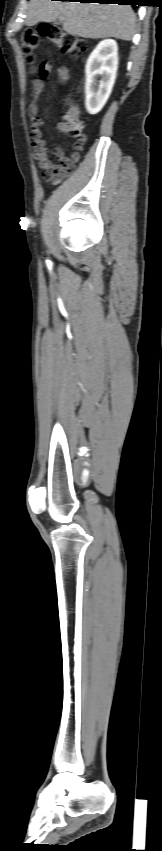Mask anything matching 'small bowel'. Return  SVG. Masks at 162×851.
I'll return each mask as SVG.
<instances>
[{"label":"small bowel","instance_id":"c3829d8e","mask_svg":"<svg viewBox=\"0 0 162 851\" xmlns=\"http://www.w3.org/2000/svg\"><path fill=\"white\" fill-rule=\"evenodd\" d=\"M39 77L33 82V90L31 94V103L29 105V115L31 119V139L34 148V158L37 161V166L44 172L46 178L52 180L54 172L64 164L70 162V158L66 157L63 150L59 147H53L51 153L58 159L61 164L55 165L49 157L45 141L42 139L40 129L41 120L39 118V100L46 86V79L51 74H56L62 81H66L69 77V68L62 64L55 66L50 62H44L38 69ZM58 128L63 131L62 124Z\"/></svg>","mask_w":162,"mask_h":851}]
</instances>
